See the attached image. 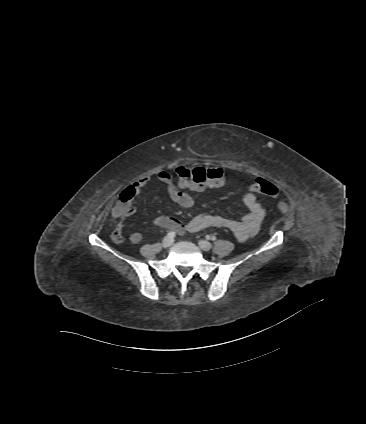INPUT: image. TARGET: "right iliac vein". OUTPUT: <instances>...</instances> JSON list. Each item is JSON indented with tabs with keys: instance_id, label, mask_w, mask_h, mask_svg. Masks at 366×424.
<instances>
[{
	"instance_id": "63e3f726",
	"label": "right iliac vein",
	"mask_w": 366,
	"mask_h": 424,
	"mask_svg": "<svg viewBox=\"0 0 366 424\" xmlns=\"http://www.w3.org/2000/svg\"><path fill=\"white\" fill-rule=\"evenodd\" d=\"M173 244V238L166 236L164 237L163 241H162V245L167 248L170 247Z\"/></svg>"
}]
</instances>
